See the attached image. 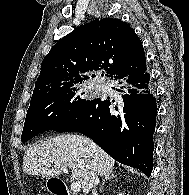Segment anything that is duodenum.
<instances>
[{
    "mask_svg": "<svg viewBox=\"0 0 189 195\" xmlns=\"http://www.w3.org/2000/svg\"><path fill=\"white\" fill-rule=\"evenodd\" d=\"M52 195H71L65 184L61 180H55L51 186Z\"/></svg>",
    "mask_w": 189,
    "mask_h": 195,
    "instance_id": "obj_1",
    "label": "duodenum"
}]
</instances>
